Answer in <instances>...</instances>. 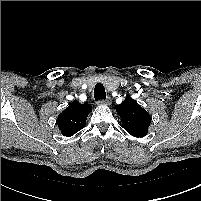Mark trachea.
Instances as JSON below:
<instances>
[{
  "label": "trachea",
  "instance_id": "3493384b",
  "mask_svg": "<svg viewBox=\"0 0 201 201\" xmlns=\"http://www.w3.org/2000/svg\"><path fill=\"white\" fill-rule=\"evenodd\" d=\"M94 98L96 101L102 100L106 98V92L103 84L97 83L94 89Z\"/></svg>",
  "mask_w": 201,
  "mask_h": 201
}]
</instances>
